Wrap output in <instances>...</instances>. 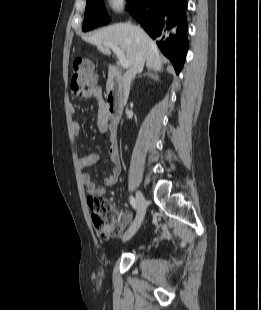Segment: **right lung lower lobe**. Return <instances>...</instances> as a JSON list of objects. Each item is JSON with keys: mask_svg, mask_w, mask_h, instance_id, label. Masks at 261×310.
I'll list each match as a JSON object with an SVG mask.
<instances>
[{"mask_svg": "<svg viewBox=\"0 0 261 310\" xmlns=\"http://www.w3.org/2000/svg\"><path fill=\"white\" fill-rule=\"evenodd\" d=\"M186 0H129L126 9L157 40L178 74L188 49Z\"/></svg>", "mask_w": 261, "mask_h": 310, "instance_id": "obj_1", "label": "right lung lower lobe"}]
</instances>
